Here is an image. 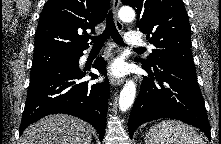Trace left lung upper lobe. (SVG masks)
I'll return each instance as SVG.
<instances>
[{
	"instance_id": "1",
	"label": "left lung upper lobe",
	"mask_w": 221,
	"mask_h": 144,
	"mask_svg": "<svg viewBox=\"0 0 221 144\" xmlns=\"http://www.w3.org/2000/svg\"><path fill=\"white\" fill-rule=\"evenodd\" d=\"M137 13V26L156 48L146 60L148 66L174 64L195 70L190 51L191 28L182 0H122Z\"/></svg>"
}]
</instances>
